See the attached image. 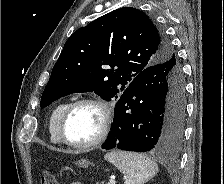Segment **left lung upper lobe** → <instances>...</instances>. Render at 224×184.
<instances>
[{"mask_svg":"<svg viewBox=\"0 0 224 184\" xmlns=\"http://www.w3.org/2000/svg\"><path fill=\"white\" fill-rule=\"evenodd\" d=\"M170 59L181 67L169 41L142 11L116 9L75 31L66 41L40 106L71 93L94 91L118 99L145 68Z\"/></svg>","mask_w":224,"mask_h":184,"instance_id":"5c2ea615","label":"left lung upper lobe"}]
</instances>
